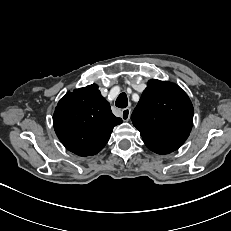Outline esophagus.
Listing matches in <instances>:
<instances>
[{
  "mask_svg": "<svg viewBox=\"0 0 231 231\" xmlns=\"http://www.w3.org/2000/svg\"><path fill=\"white\" fill-rule=\"evenodd\" d=\"M130 115H131V109L130 108H125V109L122 110L121 118L124 121H128L130 119Z\"/></svg>",
  "mask_w": 231,
  "mask_h": 231,
  "instance_id": "esophagus-1",
  "label": "esophagus"
}]
</instances>
